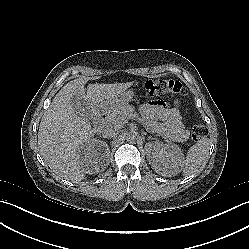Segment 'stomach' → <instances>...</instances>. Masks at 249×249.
<instances>
[{
	"instance_id": "stomach-1",
	"label": "stomach",
	"mask_w": 249,
	"mask_h": 249,
	"mask_svg": "<svg viewBox=\"0 0 249 249\" xmlns=\"http://www.w3.org/2000/svg\"><path fill=\"white\" fill-rule=\"evenodd\" d=\"M134 91L133 90H131L130 91V94H129V97L127 98V99H133L134 98ZM118 102V101H117ZM115 106H116V104L110 109V111H112V110H114V108H115ZM110 111H108L109 113H110Z\"/></svg>"
}]
</instances>
